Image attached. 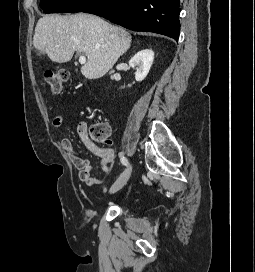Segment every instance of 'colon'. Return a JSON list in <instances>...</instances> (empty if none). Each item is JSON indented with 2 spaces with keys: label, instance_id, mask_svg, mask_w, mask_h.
<instances>
[{
  "label": "colon",
  "instance_id": "obj_1",
  "mask_svg": "<svg viewBox=\"0 0 255 272\" xmlns=\"http://www.w3.org/2000/svg\"><path fill=\"white\" fill-rule=\"evenodd\" d=\"M44 79L51 92L57 95L61 93L63 85L68 79V72L63 69L47 70L44 74ZM89 133L94 141L108 143L111 127L108 124L97 123L90 127Z\"/></svg>",
  "mask_w": 255,
  "mask_h": 272
}]
</instances>
